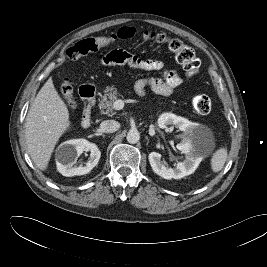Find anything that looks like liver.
Listing matches in <instances>:
<instances>
[{
  "label": "liver",
  "instance_id": "6515ba94",
  "mask_svg": "<svg viewBox=\"0 0 267 267\" xmlns=\"http://www.w3.org/2000/svg\"><path fill=\"white\" fill-rule=\"evenodd\" d=\"M70 127L68 108L50 77L38 92L26 117L27 150L37 168L47 169L56 143Z\"/></svg>",
  "mask_w": 267,
  "mask_h": 267
}]
</instances>
